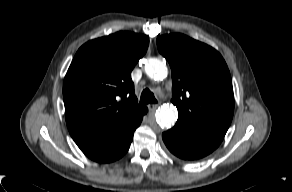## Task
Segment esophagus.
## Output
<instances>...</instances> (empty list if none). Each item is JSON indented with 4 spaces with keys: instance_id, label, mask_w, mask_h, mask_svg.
Wrapping results in <instances>:
<instances>
[{
    "instance_id": "obj_1",
    "label": "esophagus",
    "mask_w": 292,
    "mask_h": 192,
    "mask_svg": "<svg viewBox=\"0 0 292 192\" xmlns=\"http://www.w3.org/2000/svg\"><path fill=\"white\" fill-rule=\"evenodd\" d=\"M159 107V104H149L148 109L149 111L153 112Z\"/></svg>"
}]
</instances>
